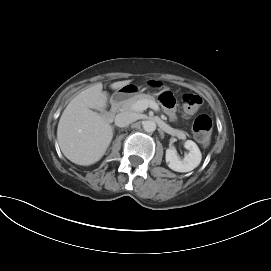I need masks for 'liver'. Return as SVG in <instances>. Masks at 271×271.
I'll use <instances>...</instances> for the list:
<instances>
[{"mask_svg": "<svg viewBox=\"0 0 271 271\" xmlns=\"http://www.w3.org/2000/svg\"><path fill=\"white\" fill-rule=\"evenodd\" d=\"M131 80L114 82L118 90ZM108 94L97 83L74 97L63 111L57 129V140L64 156L71 162L88 166L98 162L113 138L112 126L92 109L104 110Z\"/></svg>", "mask_w": 271, "mask_h": 271, "instance_id": "6515ba94", "label": "liver"}]
</instances>
